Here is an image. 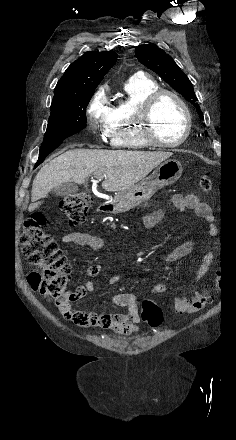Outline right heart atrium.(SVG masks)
I'll return each mask as SVG.
<instances>
[{"label": "right heart atrium", "instance_id": "d8ad5b80", "mask_svg": "<svg viewBox=\"0 0 236 440\" xmlns=\"http://www.w3.org/2000/svg\"><path fill=\"white\" fill-rule=\"evenodd\" d=\"M105 87L99 88L91 97L86 109L89 130L101 138L108 137L111 107L107 101Z\"/></svg>", "mask_w": 236, "mask_h": 440}]
</instances>
